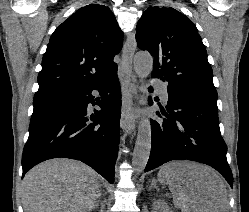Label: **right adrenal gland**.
<instances>
[{
	"mask_svg": "<svg viewBox=\"0 0 249 212\" xmlns=\"http://www.w3.org/2000/svg\"><path fill=\"white\" fill-rule=\"evenodd\" d=\"M100 198H102V194H101V192L99 190V192L97 194V198H96V200H95V202L93 204L92 210H95V208H97V206H99Z\"/></svg>",
	"mask_w": 249,
	"mask_h": 212,
	"instance_id": "2a0ac1e0",
	"label": "right adrenal gland"
}]
</instances>
